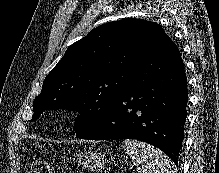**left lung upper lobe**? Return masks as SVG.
Listing matches in <instances>:
<instances>
[{"label": "left lung upper lobe", "mask_w": 219, "mask_h": 173, "mask_svg": "<svg viewBox=\"0 0 219 173\" xmlns=\"http://www.w3.org/2000/svg\"><path fill=\"white\" fill-rule=\"evenodd\" d=\"M163 28L141 19H124L93 29L72 44L45 78L34 100L35 121L45 110L79 112L76 136L95 131L134 85L137 67L167 39Z\"/></svg>", "instance_id": "1"}]
</instances>
